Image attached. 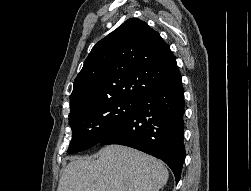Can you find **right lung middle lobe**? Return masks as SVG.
Segmentation results:
<instances>
[{"label": "right lung middle lobe", "mask_w": 251, "mask_h": 191, "mask_svg": "<svg viewBox=\"0 0 251 191\" xmlns=\"http://www.w3.org/2000/svg\"><path fill=\"white\" fill-rule=\"evenodd\" d=\"M136 109V101L124 99L71 109L69 124L72 140L68 153L83 151L98 144Z\"/></svg>", "instance_id": "obj_1"}]
</instances>
